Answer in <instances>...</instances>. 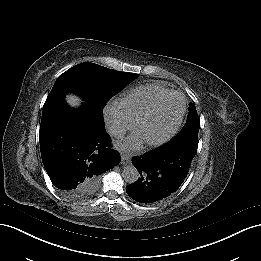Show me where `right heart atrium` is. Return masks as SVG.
Here are the masks:
<instances>
[{"mask_svg": "<svg viewBox=\"0 0 261 261\" xmlns=\"http://www.w3.org/2000/svg\"><path fill=\"white\" fill-rule=\"evenodd\" d=\"M103 118L110 132L116 136H122L129 129L128 121L117 110L115 102L104 107Z\"/></svg>", "mask_w": 261, "mask_h": 261, "instance_id": "1", "label": "right heart atrium"}]
</instances>
